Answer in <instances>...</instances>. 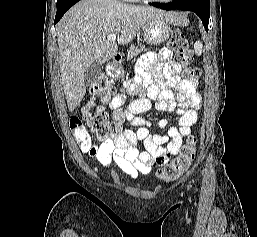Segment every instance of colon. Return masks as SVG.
<instances>
[{"label":"colon","mask_w":257,"mask_h":237,"mask_svg":"<svg viewBox=\"0 0 257 237\" xmlns=\"http://www.w3.org/2000/svg\"><path fill=\"white\" fill-rule=\"evenodd\" d=\"M170 48L176 53L178 62L186 66L184 75L188 78H197L200 76L198 68L190 67L194 54L190 49L187 38L180 32L172 33L169 40ZM115 93L112 80L107 76H100L90 90L91 99L87 107V123L102 140H114L120 135L121 125L109 119L105 108L99 105V102H105L113 97ZM70 127L79 143V146H88L91 138L78 117L70 118ZM197 139L194 136L187 138L186 145L182 148L181 153L170 163L157 172V177L165 182H172L178 179L190 166L195 157Z\"/></svg>","instance_id":"obj_1"}]
</instances>
